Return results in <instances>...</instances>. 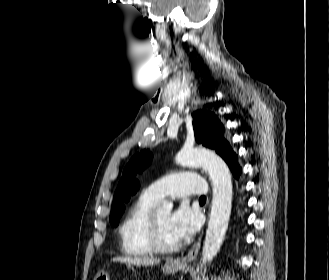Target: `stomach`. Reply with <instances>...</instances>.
<instances>
[{"instance_id": "1", "label": "stomach", "mask_w": 329, "mask_h": 280, "mask_svg": "<svg viewBox=\"0 0 329 280\" xmlns=\"http://www.w3.org/2000/svg\"><path fill=\"white\" fill-rule=\"evenodd\" d=\"M181 269V266L178 265H170L167 264L163 267V271L167 274H174L178 270ZM94 280H110V276L107 271L105 270H100L96 276L94 277Z\"/></svg>"}]
</instances>
